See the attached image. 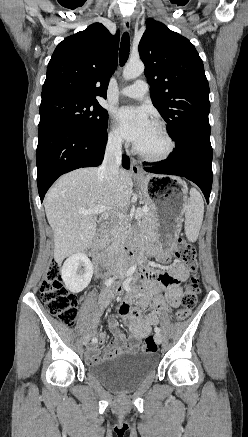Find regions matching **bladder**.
Here are the masks:
<instances>
[{"instance_id":"31cf9c89","label":"bladder","mask_w":248,"mask_h":437,"mask_svg":"<svg viewBox=\"0 0 248 437\" xmlns=\"http://www.w3.org/2000/svg\"><path fill=\"white\" fill-rule=\"evenodd\" d=\"M157 366L153 353H126L88 367V374L113 392L135 389Z\"/></svg>"}]
</instances>
